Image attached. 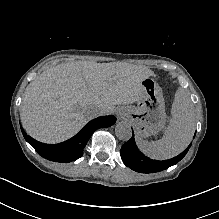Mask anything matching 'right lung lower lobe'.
<instances>
[{"label": "right lung lower lobe", "mask_w": 219, "mask_h": 219, "mask_svg": "<svg viewBox=\"0 0 219 219\" xmlns=\"http://www.w3.org/2000/svg\"><path fill=\"white\" fill-rule=\"evenodd\" d=\"M116 118L112 115L102 116L90 121L84 128L71 139L59 144H44L36 141L26 134L21 128L26 141L40 154L42 157L55 162H71L77 160L83 155L84 147L98 128H107L113 125Z\"/></svg>", "instance_id": "obj_1"}]
</instances>
